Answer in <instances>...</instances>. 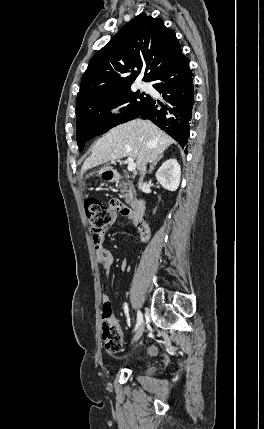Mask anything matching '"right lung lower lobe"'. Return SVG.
Instances as JSON below:
<instances>
[{
	"label": "right lung lower lobe",
	"mask_w": 264,
	"mask_h": 429,
	"mask_svg": "<svg viewBox=\"0 0 264 429\" xmlns=\"http://www.w3.org/2000/svg\"><path fill=\"white\" fill-rule=\"evenodd\" d=\"M151 81L156 82L153 87L164 100L150 97L137 117L151 120L185 147L194 105L192 72L187 57L180 51Z\"/></svg>",
	"instance_id": "1"
}]
</instances>
